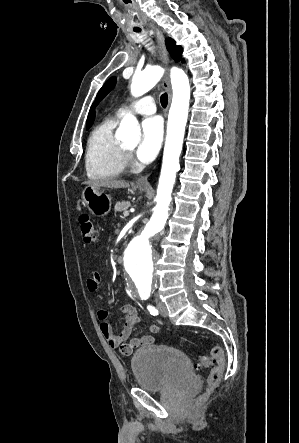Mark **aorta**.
<instances>
[{
  "instance_id": "762f6f07",
  "label": "aorta",
  "mask_w": 299,
  "mask_h": 443,
  "mask_svg": "<svg viewBox=\"0 0 299 443\" xmlns=\"http://www.w3.org/2000/svg\"><path fill=\"white\" fill-rule=\"evenodd\" d=\"M164 74L160 66L146 68L133 76L131 93L142 96L152 89ZM170 78L173 90L172 104L168 115L167 135L163 153L161 173L156 195V206L150 221L129 242L124 253V268L131 280L132 294L139 299L152 296L155 284V255L151 241L163 230L171 203V194L180 169L185 126L190 100L189 79L179 68H172ZM141 131L136 117H123L116 137L119 140L137 144Z\"/></svg>"
}]
</instances>
